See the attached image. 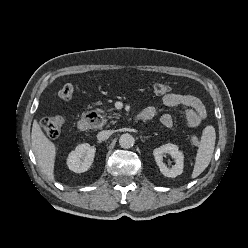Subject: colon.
Here are the masks:
<instances>
[{
  "mask_svg": "<svg viewBox=\"0 0 248 248\" xmlns=\"http://www.w3.org/2000/svg\"><path fill=\"white\" fill-rule=\"evenodd\" d=\"M151 90L156 95H166L170 92V86L165 84V83H154L151 86ZM73 92H74L73 86L70 84H65L59 90V96H60V98H62L64 100H69L72 98ZM63 124H64L63 117L52 116V117L44 118L40 122V127H41L43 133L47 137L54 138V137L59 135ZM191 143L194 146H198L199 145L198 137L192 136L191 137Z\"/></svg>",
  "mask_w": 248,
  "mask_h": 248,
  "instance_id": "5ec220e1",
  "label": "colon"
}]
</instances>
